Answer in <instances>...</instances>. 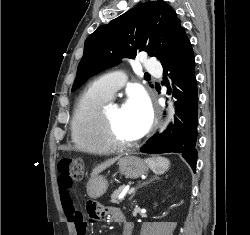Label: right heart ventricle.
I'll return each mask as SVG.
<instances>
[{
    "label": "right heart ventricle",
    "instance_id": "1",
    "mask_svg": "<svg viewBox=\"0 0 250 235\" xmlns=\"http://www.w3.org/2000/svg\"><path fill=\"white\" fill-rule=\"evenodd\" d=\"M93 84L78 99L71 121V136L76 148L87 154H106L113 150L104 134L102 111L111 99Z\"/></svg>",
    "mask_w": 250,
    "mask_h": 235
}]
</instances>
